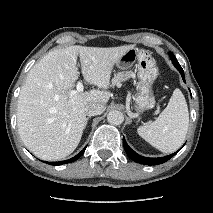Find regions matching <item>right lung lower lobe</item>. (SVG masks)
Returning <instances> with one entry per match:
<instances>
[{"label": "right lung lower lobe", "mask_w": 213, "mask_h": 213, "mask_svg": "<svg viewBox=\"0 0 213 213\" xmlns=\"http://www.w3.org/2000/svg\"><path fill=\"white\" fill-rule=\"evenodd\" d=\"M84 151H85V148L80 153H78L76 156H74L71 159H68V160H65V161H60V162H48V164L57 166V165H62V164L73 162V161L77 160L84 153Z\"/></svg>", "instance_id": "1"}]
</instances>
